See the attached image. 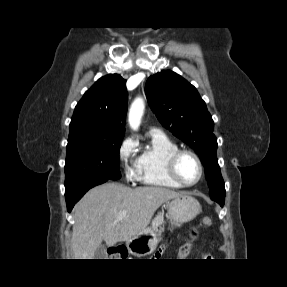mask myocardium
<instances>
[{"mask_svg": "<svg viewBox=\"0 0 287 287\" xmlns=\"http://www.w3.org/2000/svg\"><path fill=\"white\" fill-rule=\"evenodd\" d=\"M184 155L191 156L196 161L198 168H199V177L197 178L195 182L189 183V184L181 180L178 174V170H177L178 162L180 158ZM167 168H168V173L170 177L173 180H175L180 185V187H186V188L194 187L201 181L204 175V166H203V163L200 157L194 151L189 150V149H178L175 152H173L168 158Z\"/></svg>", "mask_w": 287, "mask_h": 287, "instance_id": "myocardium-1", "label": "myocardium"}]
</instances>
